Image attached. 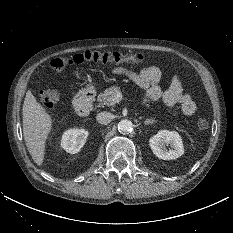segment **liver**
Instances as JSON below:
<instances>
[{"label": "liver", "instance_id": "liver-1", "mask_svg": "<svg viewBox=\"0 0 233 233\" xmlns=\"http://www.w3.org/2000/svg\"><path fill=\"white\" fill-rule=\"evenodd\" d=\"M23 135L26 147L37 165H42L45 142L52 128L51 116L28 90L22 108Z\"/></svg>", "mask_w": 233, "mask_h": 233}]
</instances>
